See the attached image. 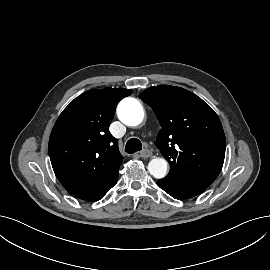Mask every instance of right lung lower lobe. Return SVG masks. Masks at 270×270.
I'll use <instances>...</instances> for the list:
<instances>
[{"instance_id": "right-lung-lower-lobe-1", "label": "right lung lower lobe", "mask_w": 270, "mask_h": 270, "mask_svg": "<svg viewBox=\"0 0 270 270\" xmlns=\"http://www.w3.org/2000/svg\"><path fill=\"white\" fill-rule=\"evenodd\" d=\"M117 180L118 174L113 178V180L106 184H103L94 189L81 191L73 195L85 201H98L103 198L109 189H111L117 183Z\"/></svg>"}]
</instances>
